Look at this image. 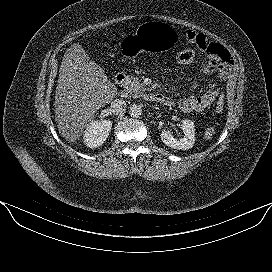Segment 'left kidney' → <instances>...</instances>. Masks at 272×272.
Segmentation results:
<instances>
[{"label":"left kidney","mask_w":272,"mask_h":272,"mask_svg":"<svg viewBox=\"0 0 272 272\" xmlns=\"http://www.w3.org/2000/svg\"><path fill=\"white\" fill-rule=\"evenodd\" d=\"M195 125L191 120H183L181 123V128L184 132L182 138L176 139L173 137L169 130H164L161 132L162 142L173 149L186 150L193 147L195 143Z\"/></svg>","instance_id":"1"}]
</instances>
